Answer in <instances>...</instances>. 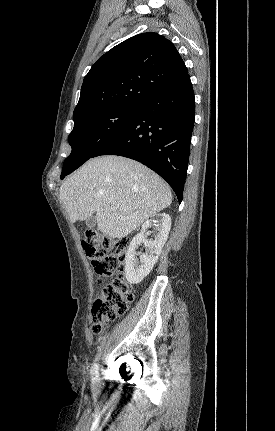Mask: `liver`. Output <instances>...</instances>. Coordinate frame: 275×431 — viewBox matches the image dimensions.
Returning a JSON list of instances; mask_svg holds the SVG:
<instances>
[{
  "label": "liver",
  "mask_w": 275,
  "mask_h": 431,
  "mask_svg": "<svg viewBox=\"0 0 275 431\" xmlns=\"http://www.w3.org/2000/svg\"><path fill=\"white\" fill-rule=\"evenodd\" d=\"M60 200L70 221L96 212L98 229L110 238H124L145 220L168 207V184L141 163L116 155L86 162L60 187ZM116 207V212L111 207Z\"/></svg>",
  "instance_id": "1"
}]
</instances>
